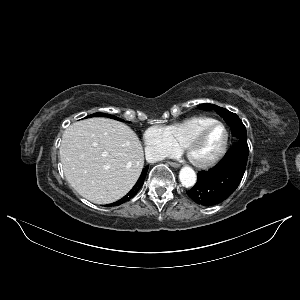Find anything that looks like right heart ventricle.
I'll list each match as a JSON object with an SVG mask.
<instances>
[{
  "label": "right heart ventricle",
  "instance_id": "obj_1",
  "mask_svg": "<svg viewBox=\"0 0 300 300\" xmlns=\"http://www.w3.org/2000/svg\"><path fill=\"white\" fill-rule=\"evenodd\" d=\"M214 120L215 119L208 116H193L163 126L162 129L174 146L178 149H183L188 140L196 132Z\"/></svg>",
  "mask_w": 300,
  "mask_h": 300
}]
</instances>
